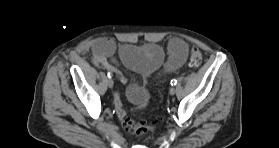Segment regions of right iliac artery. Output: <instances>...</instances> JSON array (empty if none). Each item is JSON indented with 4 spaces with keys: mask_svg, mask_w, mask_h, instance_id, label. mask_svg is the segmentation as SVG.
Returning <instances> with one entry per match:
<instances>
[{
    "mask_svg": "<svg viewBox=\"0 0 279 148\" xmlns=\"http://www.w3.org/2000/svg\"><path fill=\"white\" fill-rule=\"evenodd\" d=\"M107 76H108L109 78H111V77H112V73L108 72V73H107Z\"/></svg>",
    "mask_w": 279,
    "mask_h": 148,
    "instance_id": "obj_1",
    "label": "right iliac artery"
}]
</instances>
